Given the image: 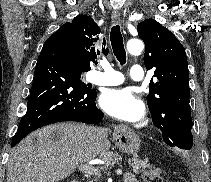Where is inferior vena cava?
Returning <instances> with one entry per match:
<instances>
[{
  "mask_svg": "<svg viewBox=\"0 0 211 182\" xmlns=\"http://www.w3.org/2000/svg\"><path fill=\"white\" fill-rule=\"evenodd\" d=\"M92 133H93V134H98V133H99V130H98V129H93V130H92Z\"/></svg>",
  "mask_w": 211,
  "mask_h": 182,
  "instance_id": "602c4592",
  "label": "inferior vena cava"
}]
</instances>
